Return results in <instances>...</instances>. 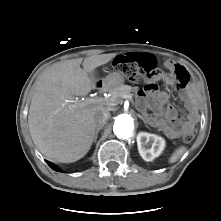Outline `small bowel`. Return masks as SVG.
I'll return each mask as SVG.
<instances>
[{
    "mask_svg": "<svg viewBox=\"0 0 221 221\" xmlns=\"http://www.w3.org/2000/svg\"><path fill=\"white\" fill-rule=\"evenodd\" d=\"M141 54L143 53H127L120 56L129 55L131 59H135ZM164 65L169 71L168 73L160 74L165 81L170 79L189 81V73L184 66L172 60H167ZM140 96L149 102L152 110L150 120L171 139L182 136L184 131L194 127L198 120V112L194 108L192 99L185 89H183L181 94L184 110L180 113L175 107L168 104L169 96L165 91L151 88L147 93L141 92Z\"/></svg>",
    "mask_w": 221,
    "mask_h": 221,
    "instance_id": "1",
    "label": "small bowel"
}]
</instances>
